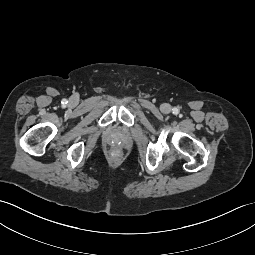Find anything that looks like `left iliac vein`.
Here are the masks:
<instances>
[{"label":"left iliac vein","mask_w":255,"mask_h":255,"mask_svg":"<svg viewBox=\"0 0 255 255\" xmlns=\"http://www.w3.org/2000/svg\"><path fill=\"white\" fill-rule=\"evenodd\" d=\"M171 105L170 104H168V103H164V104H162L161 105V111L163 112V113H165V114H167V113H170L171 112Z\"/></svg>","instance_id":"left-iliac-vein-1"}]
</instances>
